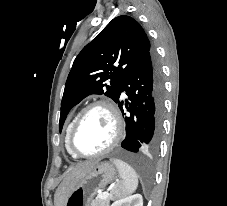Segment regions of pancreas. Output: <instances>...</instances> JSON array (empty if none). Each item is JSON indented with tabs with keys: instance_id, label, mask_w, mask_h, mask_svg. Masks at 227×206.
I'll list each match as a JSON object with an SVG mask.
<instances>
[{
	"instance_id": "1",
	"label": "pancreas",
	"mask_w": 227,
	"mask_h": 206,
	"mask_svg": "<svg viewBox=\"0 0 227 206\" xmlns=\"http://www.w3.org/2000/svg\"><path fill=\"white\" fill-rule=\"evenodd\" d=\"M110 196L108 195V197L102 199L99 197V195L95 198L94 201H92L91 206H109V202H110Z\"/></svg>"
}]
</instances>
